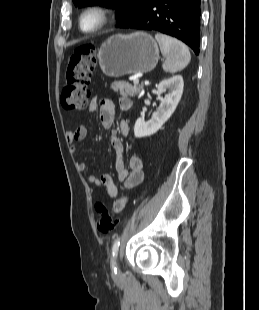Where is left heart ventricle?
<instances>
[{"label":"left heart ventricle","instance_id":"obj_1","mask_svg":"<svg viewBox=\"0 0 259 310\" xmlns=\"http://www.w3.org/2000/svg\"><path fill=\"white\" fill-rule=\"evenodd\" d=\"M98 23V17L94 14L88 15L84 20V27L89 29Z\"/></svg>","mask_w":259,"mask_h":310}]
</instances>
